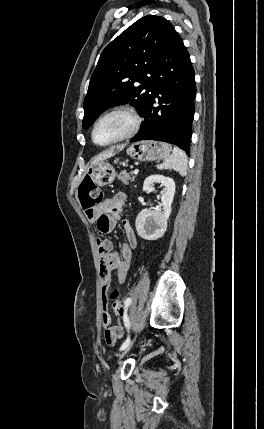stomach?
Wrapping results in <instances>:
<instances>
[{
    "label": "stomach",
    "instance_id": "stomach-1",
    "mask_svg": "<svg viewBox=\"0 0 264 429\" xmlns=\"http://www.w3.org/2000/svg\"><path fill=\"white\" fill-rule=\"evenodd\" d=\"M171 150L168 143L145 140L131 144L126 152L131 158L139 161H155L168 157ZM87 176L98 185H106L113 182L116 173L112 165L106 161H100L88 168Z\"/></svg>",
    "mask_w": 264,
    "mask_h": 429
}]
</instances>
